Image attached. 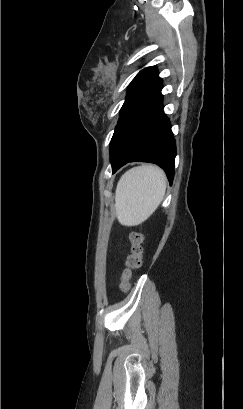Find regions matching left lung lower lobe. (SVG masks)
I'll return each instance as SVG.
<instances>
[{
	"instance_id": "1",
	"label": "left lung lower lobe",
	"mask_w": 243,
	"mask_h": 409,
	"mask_svg": "<svg viewBox=\"0 0 243 409\" xmlns=\"http://www.w3.org/2000/svg\"><path fill=\"white\" fill-rule=\"evenodd\" d=\"M161 88L156 73L121 115L114 132L118 153L112 173L128 162H150L159 165L172 184L176 146L163 112Z\"/></svg>"
}]
</instances>
